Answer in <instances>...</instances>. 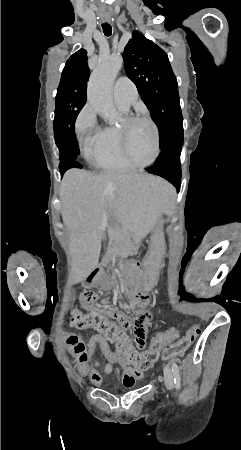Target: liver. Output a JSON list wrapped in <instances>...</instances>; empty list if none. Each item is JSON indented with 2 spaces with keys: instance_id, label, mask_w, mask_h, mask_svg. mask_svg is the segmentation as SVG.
Wrapping results in <instances>:
<instances>
[{
  "instance_id": "1",
  "label": "liver",
  "mask_w": 241,
  "mask_h": 450,
  "mask_svg": "<svg viewBox=\"0 0 241 450\" xmlns=\"http://www.w3.org/2000/svg\"><path fill=\"white\" fill-rule=\"evenodd\" d=\"M168 190V182L151 174H91L77 168L65 172L59 192L61 214L70 230V256L79 282L98 266L105 228L140 226L144 220L148 230L166 204Z\"/></svg>"
}]
</instances>
